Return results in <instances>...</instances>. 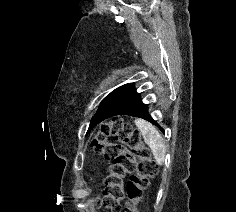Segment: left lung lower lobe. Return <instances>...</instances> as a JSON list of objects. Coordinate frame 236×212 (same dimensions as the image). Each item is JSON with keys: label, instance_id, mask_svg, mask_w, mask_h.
<instances>
[{"label": "left lung lower lobe", "instance_id": "left-lung-lower-lobe-1", "mask_svg": "<svg viewBox=\"0 0 236 212\" xmlns=\"http://www.w3.org/2000/svg\"><path fill=\"white\" fill-rule=\"evenodd\" d=\"M116 115H129L143 118L158 126L159 129L164 132V129L150 116L148 106L141 101L140 94L136 92L133 83L122 86L119 93L101 113L99 121L102 122L103 120Z\"/></svg>", "mask_w": 236, "mask_h": 212}]
</instances>
